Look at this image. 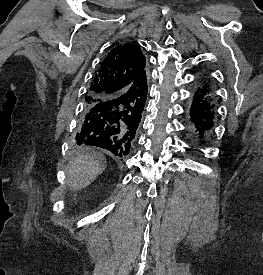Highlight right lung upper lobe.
I'll use <instances>...</instances> for the list:
<instances>
[{"instance_id":"cb5924a9","label":"right lung upper lobe","mask_w":263,"mask_h":275,"mask_svg":"<svg viewBox=\"0 0 263 275\" xmlns=\"http://www.w3.org/2000/svg\"><path fill=\"white\" fill-rule=\"evenodd\" d=\"M145 64L139 46L132 43L116 45L96 73L89 95L99 101L100 98L125 93L130 109L142 113L147 95V86L141 78Z\"/></svg>"}]
</instances>
